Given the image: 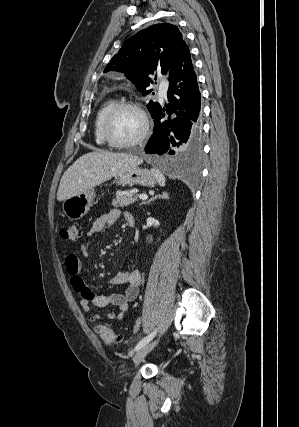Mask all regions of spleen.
<instances>
[{"label": "spleen", "instance_id": "3e777b00", "mask_svg": "<svg viewBox=\"0 0 299 427\" xmlns=\"http://www.w3.org/2000/svg\"><path fill=\"white\" fill-rule=\"evenodd\" d=\"M151 171H152V173L154 174V176H155V178H156V181H157L161 186H164V185H165V182H166V179H165V177H164L163 173H161L159 170H157V169H155V168H152V169H151Z\"/></svg>", "mask_w": 299, "mask_h": 427}]
</instances>
